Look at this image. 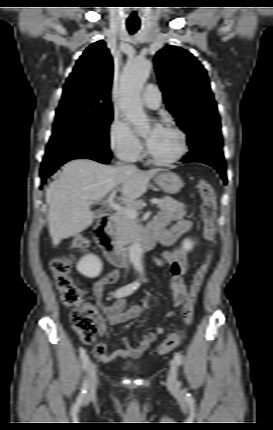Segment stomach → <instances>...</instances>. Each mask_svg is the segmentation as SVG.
Masks as SVG:
<instances>
[{"instance_id":"stomach-1","label":"stomach","mask_w":273,"mask_h":430,"mask_svg":"<svg viewBox=\"0 0 273 430\" xmlns=\"http://www.w3.org/2000/svg\"><path fill=\"white\" fill-rule=\"evenodd\" d=\"M155 183L165 192L176 194L183 186L181 178L173 172L160 173L155 177Z\"/></svg>"}]
</instances>
